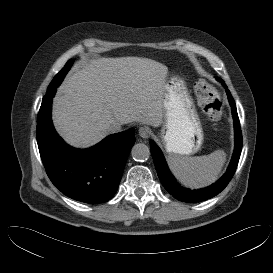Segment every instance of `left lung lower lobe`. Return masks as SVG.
I'll use <instances>...</instances> for the list:
<instances>
[{"label": "left lung lower lobe", "mask_w": 273, "mask_h": 273, "mask_svg": "<svg viewBox=\"0 0 273 273\" xmlns=\"http://www.w3.org/2000/svg\"><path fill=\"white\" fill-rule=\"evenodd\" d=\"M218 81H220L223 86L226 88L224 81L218 77H216ZM228 99L230 105L232 107V115L234 119V128H235V149L233 153V157L231 162L227 168L226 173L213 185L199 190H190L181 187L175 179L170 174L165 159L163 157L162 152L156 146V144L152 141L150 145V150L152 154V158L156 167L157 175L164 186V188L176 199L183 202H199L210 199L217 194H219L229 183L231 178L233 177L236 167L238 165V161L241 154L242 149V133L240 128V122L237 114V109L235 102L229 92L227 90Z\"/></svg>", "instance_id": "left-lung-lower-lobe-1"}]
</instances>
